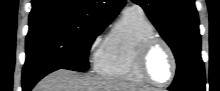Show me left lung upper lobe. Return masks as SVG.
<instances>
[{
    "mask_svg": "<svg viewBox=\"0 0 220 91\" xmlns=\"http://www.w3.org/2000/svg\"><path fill=\"white\" fill-rule=\"evenodd\" d=\"M140 5L171 47L177 62L172 91H204L199 19L194 0H132Z\"/></svg>",
    "mask_w": 220,
    "mask_h": 91,
    "instance_id": "1",
    "label": "left lung upper lobe"
}]
</instances>
